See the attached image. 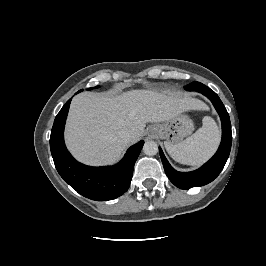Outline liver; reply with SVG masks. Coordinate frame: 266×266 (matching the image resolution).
I'll return each mask as SVG.
<instances>
[{"instance_id": "obj_1", "label": "liver", "mask_w": 266, "mask_h": 266, "mask_svg": "<svg viewBox=\"0 0 266 266\" xmlns=\"http://www.w3.org/2000/svg\"><path fill=\"white\" fill-rule=\"evenodd\" d=\"M199 100L180 93L132 90L121 95L84 92L72 100L65 139L80 161L102 165L118 159L128 143L119 138L131 133V143L144 133L146 123L166 121L188 110L202 109Z\"/></svg>"}]
</instances>
